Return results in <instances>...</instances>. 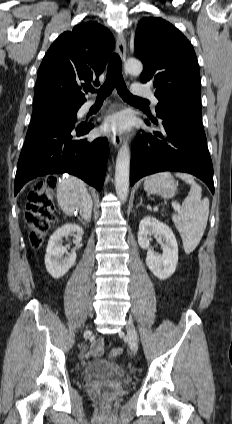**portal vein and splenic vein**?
<instances>
[{
	"instance_id": "18ae733b",
	"label": "portal vein and splenic vein",
	"mask_w": 232,
	"mask_h": 424,
	"mask_svg": "<svg viewBox=\"0 0 232 424\" xmlns=\"http://www.w3.org/2000/svg\"><path fill=\"white\" fill-rule=\"evenodd\" d=\"M172 207H173L175 210H177V211H179V210H180V205H179V204H177V203H175V202H172Z\"/></svg>"
}]
</instances>
